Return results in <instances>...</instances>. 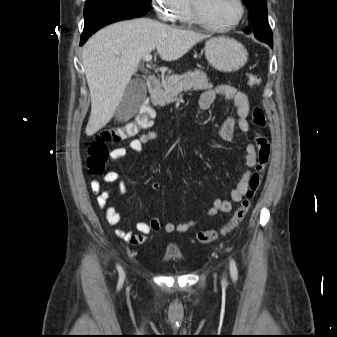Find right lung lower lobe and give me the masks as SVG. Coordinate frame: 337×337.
Instances as JSON below:
<instances>
[{
    "instance_id": "obj_1",
    "label": "right lung lower lobe",
    "mask_w": 337,
    "mask_h": 337,
    "mask_svg": "<svg viewBox=\"0 0 337 337\" xmlns=\"http://www.w3.org/2000/svg\"><path fill=\"white\" fill-rule=\"evenodd\" d=\"M147 11L136 10L121 6L105 7L85 16L84 30L80 40V46L100 28L120 20L132 19L143 16Z\"/></svg>"
}]
</instances>
